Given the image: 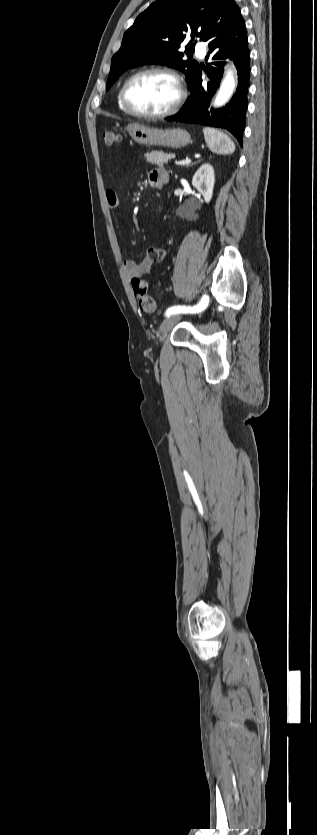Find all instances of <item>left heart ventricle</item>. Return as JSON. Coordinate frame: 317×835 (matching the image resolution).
I'll use <instances>...</instances> for the list:
<instances>
[{
    "instance_id": "obj_1",
    "label": "left heart ventricle",
    "mask_w": 317,
    "mask_h": 835,
    "mask_svg": "<svg viewBox=\"0 0 317 835\" xmlns=\"http://www.w3.org/2000/svg\"><path fill=\"white\" fill-rule=\"evenodd\" d=\"M177 95L175 82L162 74L141 76L130 85L128 90V98L134 108L151 114L169 108Z\"/></svg>"
}]
</instances>
